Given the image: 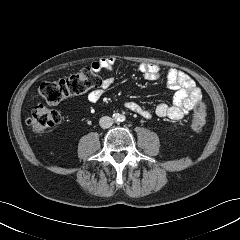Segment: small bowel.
<instances>
[{"mask_svg":"<svg viewBox=\"0 0 240 240\" xmlns=\"http://www.w3.org/2000/svg\"><path fill=\"white\" fill-rule=\"evenodd\" d=\"M115 63V58L106 57L94 61L91 68L96 72H112ZM137 69L149 81L158 80L162 76V69L154 64L140 63ZM166 78L168 87L175 91L172 104L160 103L153 112L135 101H126L124 106L146 119L152 118L153 115L172 120L181 119L200 102L202 91L189 75L177 69L169 68L166 71ZM113 83L114 77L112 76L101 79L99 85L88 94V100L93 103L99 101Z\"/></svg>","mask_w":240,"mask_h":240,"instance_id":"1","label":"small bowel"}]
</instances>
